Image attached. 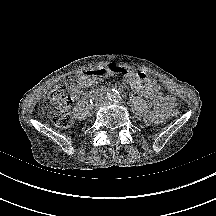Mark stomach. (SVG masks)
Segmentation results:
<instances>
[{"mask_svg": "<svg viewBox=\"0 0 216 216\" xmlns=\"http://www.w3.org/2000/svg\"><path fill=\"white\" fill-rule=\"evenodd\" d=\"M104 71L114 78L125 79L129 75V70L122 65H117L113 62H108L104 66Z\"/></svg>", "mask_w": 216, "mask_h": 216, "instance_id": "1", "label": "stomach"}]
</instances>
